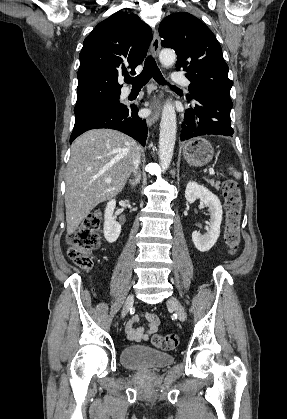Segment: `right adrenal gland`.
Returning <instances> with one entry per match:
<instances>
[{
	"label": "right adrenal gland",
	"mask_w": 287,
	"mask_h": 419,
	"mask_svg": "<svg viewBox=\"0 0 287 419\" xmlns=\"http://www.w3.org/2000/svg\"><path fill=\"white\" fill-rule=\"evenodd\" d=\"M140 181H141V174H140V172H138V173L136 174L135 179H130V180H129V184H130V186H131L132 188H134V187H136L138 184H140Z\"/></svg>",
	"instance_id": "obj_1"
}]
</instances>
